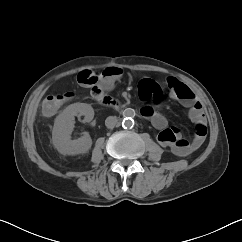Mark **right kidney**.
I'll return each mask as SVG.
<instances>
[{"label": "right kidney", "mask_w": 242, "mask_h": 242, "mask_svg": "<svg viewBox=\"0 0 242 242\" xmlns=\"http://www.w3.org/2000/svg\"><path fill=\"white\" fill-rule=\"evenodd\" d=\"M78 115H83L84 121L90 122L94 117V110L90 104L78 102L66 107L55 119L52 143L57 151L63 155L84 154L92 146V139L88 134H84L76 140H71V133L74 128L73 119Z\"/></svg>", "instance_id": "1"}]
</instances>
